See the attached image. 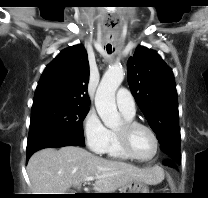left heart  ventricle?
Returning <instances> with one entry per match:
<instances>
[{
	"instance_id": "b2bd125f",
	"label": "left heart ventricle",
	"mask_w": 208,
	"mask_h": 198,
	"mask_svg": "<svg viewBox=\"0 0 208 198\" xmlns=\"http://www.w3.org/2000/svg\"><path fill=\"white\" fill-rule=\"evenodd\" d=\"M122 124L115 130H120ZM130 146L135 155L140 158H149L153 154L155 148L153 137L143 128H136L131 132Z\"/></svg>"
}]
</instances>
